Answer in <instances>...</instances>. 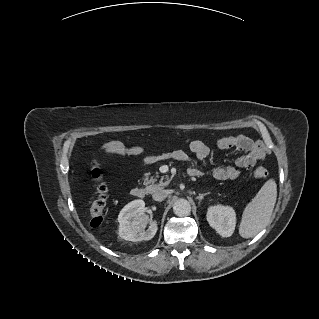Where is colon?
Listing matches in <instances>:
<instances>
[{
  "instance_id": "5ec220e1",
  "label": "colon",
  "mask_w": 319,
  "mask_h": 319,
  "mask_svg": "<svg viewBox=\"0 0 319 319\" xmlns=\"http://www.w3.org/2000/svg\"><path fill=\"white\" fill-rule=\"evenodd\" d=\"M253 174L255 177L265 178L268 175V171L263 167H258L254 169ZM90 175L92 179L98 182L102 180V172L97 167L91 169ZM98 191L100 193L99 197L92 202L89 209L90 225L93 227H97L103 222L105 212V188L100 185Z\"/></svg>"
}]
</instances>
